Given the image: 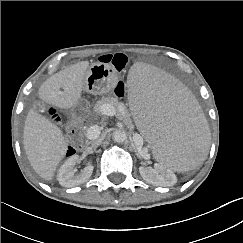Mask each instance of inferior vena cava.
I'll use <instances>...</instances> for the list:
<instances>
[{"label":"inferior vena cava","mask_w":243,"mask_h":243,"mask_svg":"<svg viewBox=\"0 0 243 243\" xmlns=\"http://www.w3.org/2000/svg\"><path fill=\"white\" fill-rule=\"evenodd\" d=\"M99 130V128H98ZM99 134L96 136V137H93L91 139H95L93 142H92V147H98L101 143H102V138H98Z\"/></svg>","instance_id":"1"}]
</instances>
